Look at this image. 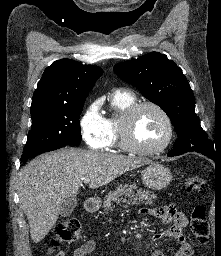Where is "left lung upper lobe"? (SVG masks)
Listing matches in <instances>:
<instances>
[{
  "instance_id": "5c2ea615",
  "label": "left lung upper lobe",
  "mask_w": 221,
  "mask_h": 256,
  "mask_svg": "<svg viewBox=\"0 0 221 256\" xmlns=\"http://www.w3.org/2000/svg\"><path fill=\"white\" fill-rule=\"evenodd\" d=\"M113 70L170 117L178 135L174 150L194 146L214 149L195 114L194 95L182 69L166 55L150 52L138 59L116 64Z\"/></svg>"
}]
</instances>
